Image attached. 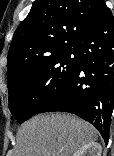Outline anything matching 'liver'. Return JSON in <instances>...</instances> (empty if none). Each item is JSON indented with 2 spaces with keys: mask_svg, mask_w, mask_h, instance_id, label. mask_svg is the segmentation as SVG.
<instances>
[{
  "mask_svg": "<svg viewBox=\"0 0 114 156\" xmlns=\"http://www.w3.org/2000/svg\"><path fill=\"white\" fill-rule=\"evenodd\" d=\"M97 138L95 127L74 115L40 114L18 130L15 156H72Z\"/></svg>",
  "mask_w": 114,
  "mask_h": 156,
  "instance_id": "1",
  "label": "liver"
}]
</instances>
